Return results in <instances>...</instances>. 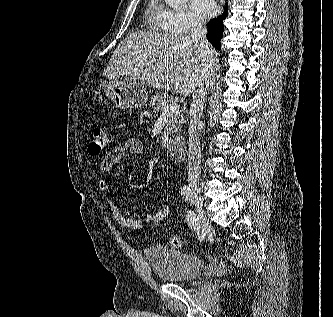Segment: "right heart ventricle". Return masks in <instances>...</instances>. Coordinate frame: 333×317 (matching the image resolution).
I'll return each mask as SVG.
<instances>
[{
	"instance_id": "obj_1",
	"label": "right heart ventricle",
	"mask_w": 333,
	"mask_h": 317,
	"mask_svg": "<svg viewBox=\"0 0 333 317\" xmlns=\"http://www.w3.org/2000/svg\"><path fill=\"white\" fill-rule=\"evenodd\" d=\"M162 7L158 0H148L146 8V20L148 27L153 31L164 30L161 25Z\"/></svg>"
}]
</instances>
